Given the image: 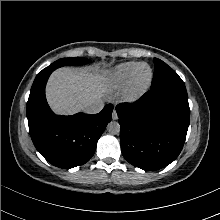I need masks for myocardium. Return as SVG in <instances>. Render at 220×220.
<instances>
[{"label":"myocardium","instance_id":"obj_1","mask_svg":"<svg viewBox=\"0 0 220 220\" xmlns=\"http://www.w3.org/2000/svg\"><path fill=\"white\" fill-rule=\"evenodd\" d=\"M142 67H147L149 70V74L145 79L140 80L138 78V72ZM152 77H153V72L149 65L145 63L138 64L129 80L128 89L126 92V99L128 101H135L139 97H141L143 93L147 90L149 85L151 84Z\"/></svg>","mask_w":220,"mask_h":220}]
</instances>
